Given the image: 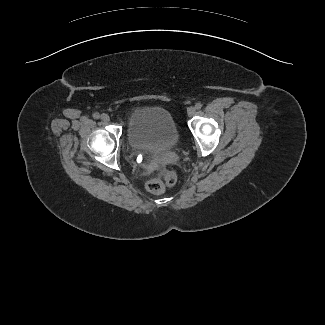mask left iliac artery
<instances>
[{
	"label": "left iliac artery",
	"instance_id": "44dca946",
	"mask_svg": "<svg viewBox=\"0 0 325 325\" xmlns=\"http://www.w3.org/2000/svg\"><path fill=\"white\" fill-rule=\"evenodd\" d=\"M195 107H196L197 110L201 109L202 108V103H200V102L196 103Z\"/></svg>",
	"mask_w": 325,
	"mask_h": 325
}]
</instances>
